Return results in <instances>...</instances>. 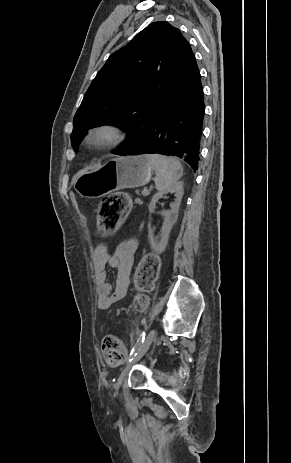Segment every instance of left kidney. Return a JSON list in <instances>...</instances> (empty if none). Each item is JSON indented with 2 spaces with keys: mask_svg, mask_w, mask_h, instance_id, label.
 Returning <instances> with one entry per match:
<instances>
[{
  "mask_svg": "<svg viewBox=\"0 0 291 463\" xmlns=\"http://www.w3.org/2000/svg\"><path fill=\"white\" fill-rule=\"evenodd\" d=\"M168 193L175 194V201L170 205V210H163L162 215L164 216V223L161 228V235L160 239L156 238L153 234V229L151 228V224L149 223V231H148V238L150 241L151 248L157 252L162 253L166 245L168 243V238L171 232V229L178 218V211L181 203V199L184 194L183 183L178 182L166 190L157 192L153 197L149 204V212H154L156 208V203L160 198H163Z\"/></svg>",
  "mask_w": 291,
  "mask_h": 463,
  "instance_id": "left-kidney-1",
  "label": "left kidney"
}]
</instances>
